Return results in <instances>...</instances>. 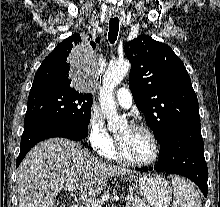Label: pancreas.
Listing matches in <instances>:
<instances>
[{
  "label": "pancreas",
  "instance_id": "1",
  "mask_svg": "<svg viewBox=\"0 0 220 207\" xmlns=\"http://www.w3.org/2000/svg\"><path fill=\"white\" fill-rule=\"evenodd\" d=\"M127 207H147L146 204L139 198L127 202Z\"/></svg>",
  "mask_w": 220,
  "mask_h": 207
}]
</instances>
